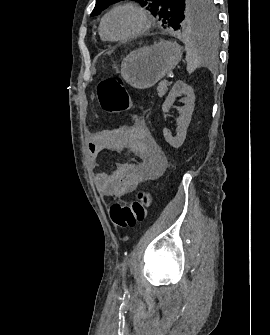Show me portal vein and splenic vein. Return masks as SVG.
<instances>
[{
    "label": "portal vein and splenic vein",
    "instance_id": "portal-vein-and-splenic-vein-1",
    "mask_svg": "<svg viewBox=\"0 0 270 335\" xmlns=\"http://www.w3.org/2000/svg\"><path fill=\"white\" fill-rule=\"evenodd\" d=\"M171 74H172V71H169V74H167V76L165 77L167 79V81L172 76Z\"/></svg>",
    "mask_w": 270,
    "mask_h": 335
}]
</instances>
